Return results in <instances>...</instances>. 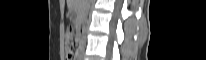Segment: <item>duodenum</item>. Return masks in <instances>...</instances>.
Segmentation results:
<instances>
[{"mask_svg": "<svg viewBox=\"0 0 206 60\" xmlns=\"http://www.w3.org/2000/svg\"><path fill=\"white\" fill-rule=\"evenodd\" d=\"M84 30H83V28H82V26L80 25L79 26V37H80V39H82L83 37H84Z\"/></svg>", "mask_w": 206, "mask_h": 60, "instance_id": "1", "label": "duodenum"}]
</instances>
